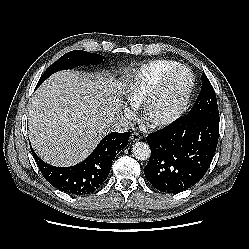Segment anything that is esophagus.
Listing matches in <instances>:
<instances>
[{
  "label": "esophagus",
  "mask_w": 249,
  "mask_h": 249,
  "mask_svg": "<svg viewBox=\"0 0 249 249\" xmlns=\"http://www.w3.org/2000/svg\"><path fill=\"white\" fill-rule=\"evenodd\" d=\"M130 139L133 141V142H136V141H139L141 139V136L139 133L137 132H134L131 134V137Z\"/></svg>",
  "instance_id": "esophagus-1"
}]
</instances>
